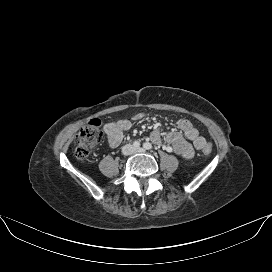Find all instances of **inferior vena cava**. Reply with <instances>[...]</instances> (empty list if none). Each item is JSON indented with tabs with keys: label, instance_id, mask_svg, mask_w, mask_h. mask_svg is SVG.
Listing matches in <instances>:
<instances>
[{
	"label": "inferior vena cava",
	"instance_id": "1",
	"mask_svg": "<svg viewBox=\"0 0 272 272\" xmlns=\"http://www.w3.org/2000/svg\"><path fill=\"white\" fill-rule=\"evenodd\" d=\"M135 151H136L135 148H134L132 145H130V144L124 145V146L122 147V153H123L124 155H131V154H133Z\"/></svg>",
	"mask_w": 272,
	"mask_h": 272
}]
</instances>
